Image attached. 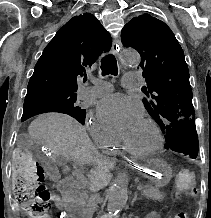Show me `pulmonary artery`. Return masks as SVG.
Masks as SVG:
<instances>
[{
	"label": "pulmonary artery",
	"instance_id": "pulmonary-artery-1",
	"mask_svg": "<svg viewBox=\"0 0 211 218\" xmlns=\"http://www.w3.org/2000/svg\"><path fill=\"white\" fill-rule=\"evenodd\" d=\"M128 80H123L120 83L121 87H134L135 85H145L146 81L143 74L132 72L125 75ZM91 86L82 87L79 91L80 98H97L109 94L113 90L111 83L98 78H91Z\"/></svg>",
	"mask_w": 211,
	"mask_h": 218
}]
</instances>
